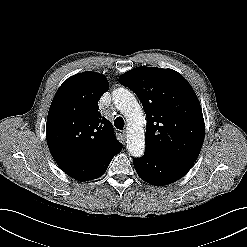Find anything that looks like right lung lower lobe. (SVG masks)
Wrapping results in <instances>:
<instances>
[{"instance_id": "1", "label": "right lung lower lobe", "mask_w": 247, "mask_h": 247, "mask_svg": "<svg viewBox=\"0 0 247 247\" xmlns=\"http://www.w3.org/2000/svg\"><path fill=\"white\" fill-rule=\"evenodd\" d=\"M121 150L122 146L89 164L75 165L65 162H57V164L60 169H62L70 177L79 181H89L102 176L109 166L112 158Z\"/></svg>"}]
</instances>
